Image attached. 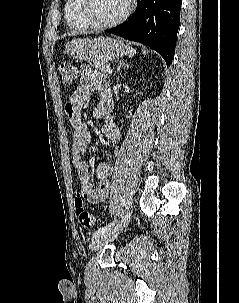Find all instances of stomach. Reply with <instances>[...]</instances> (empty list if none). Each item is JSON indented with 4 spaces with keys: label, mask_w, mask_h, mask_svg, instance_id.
<instances>
[{
    "label": "stomach",
    "mask_w": 239,
    "mask_h": 303,
    "mask_svg": "<svg viewBox=\"0 0 239 303\" xmlns=\"http://www.w3.org/2000/svg\"><path fill=\"white\" fill-rule=\"evenodd\" d=\"M126 47L120 39L98 37L72 40L66 46V50L78 60L107 63L125 55Z\"/></svg>",
    "instance_id": "0dacf381"
}]
</instances>
